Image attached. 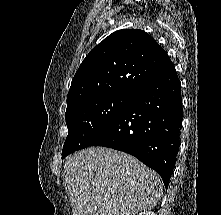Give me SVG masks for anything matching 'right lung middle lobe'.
Segmentation results:
<instances>
[{
    "instance_id": "obj_1",
    "label": "right lung middle lobe",
    "mask_w": 221,
    "mask_h": 215,
    "mask_svg": "<svg viewBox=\"0 0 221 215\" xmlns=\"http://www.w3.org/2000/svg\"><path fill=\"white\" fill-rule=\"evenodd\" d=\"M130 95L108 94L67 106L63 158L76 150L90 146L113 124L123 111Z\"/></svg>"
}]
</instances>
